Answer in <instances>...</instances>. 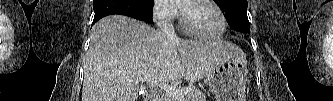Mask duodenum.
I'll use <instances>...</instances> for the list:
<instances>
[{"mask_svg":"<svg viewBox=\"0 0 333 101\" xmlns=\"http://www.w3.org/2000/svg\"><path fill=\"white\" fill-rule=\"evenodd\" d=\"M144 101H160L158 93L154 90H148L143 95Z\"/></svg>","mask_w":333,"mask_h":101,"instance_id":"1","label":"duodenum"}]
</instances>
